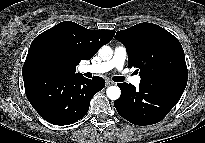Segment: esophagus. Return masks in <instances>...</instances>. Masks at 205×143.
Here are the masks:
<instances>
[{
  "instance_id": "34e87169",
  "label": "esophagus",
  "mask_w": 205,
  "mask_h": 143,
  "mask_svg": "<svg viewBox=\"0 0 205 143\" xmlns=\"http://www.w3.org/2000/svg\"><path fill=\"white\" fill-rule=\"evenodd\" d=\"M112 84H114L112 81L106 80V86H110V85H112Z\"/></svg>"
}]
</instances>
